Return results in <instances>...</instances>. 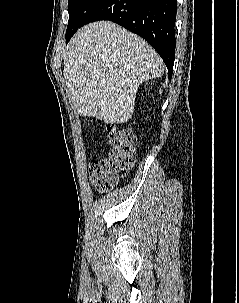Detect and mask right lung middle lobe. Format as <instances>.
Returning <instances> with one entry per match:
<instances>
[{
	"label": "right lung middle lobe",
	"instance_id": "right-lung-middle-lobe-1",
	"mask_svg": "<svg viewBox=\"0 0 239 303\" xmlns=\"http://www.w3.org/2000/svg\"><path fill=\"white\" fill-rule=\"evenodd\" d=\"M105 0H69V21L66 31V41L74 35L78 28L84 25L90 14L97 9Z\"/></svg>",
	"mask_w": 239,
	"mask_h": 303
}]
</instances>
